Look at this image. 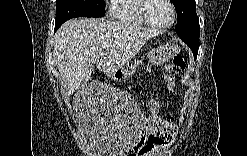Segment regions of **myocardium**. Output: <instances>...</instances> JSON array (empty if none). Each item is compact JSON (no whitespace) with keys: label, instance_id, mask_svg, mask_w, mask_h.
Segmentation results:
<instances>
[{"label":"myocardium","instance_id":"obj_1","mask_svg":"<svg viewBox=\"0 0 247 156\" xmlns=\"http://www.w3.org/2000/svg\"><path fill=\"white\" fill-rule=\"evenodd\" d=\"M164 1L169 5V7L171 9V13H172L171 20L168 23H164V24L156 23L148 17L147 9H148L149 0L140 1V3H139L140 14L148 26L153 27V28H158V29H166V28L171 27L174 24V22L176 20L175 7L170 0H164Z\"/></svg>","mask_w":247,"mask_h":156}]
</instances>
